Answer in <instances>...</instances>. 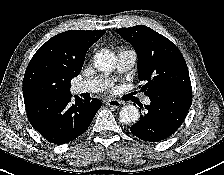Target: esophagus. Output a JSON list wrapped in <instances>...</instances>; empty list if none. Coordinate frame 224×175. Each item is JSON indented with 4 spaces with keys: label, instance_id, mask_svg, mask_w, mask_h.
<instances>
[{
    "label": "esophagus",
    "instance_id": "1",
    "mask_svg": "<svg viewBox=\"0 0 224 175\" xmlns=\"http://www.w3.org/2000/svg\"><path fill=\"white\" fill-rule=\"evenodd\" d=\"M106 104L110 107L119 108L122 105V102L116 99H108Z\"/></svg>",
    "mask_w": 224,
    "mask_h": 175
}]
</instances>
